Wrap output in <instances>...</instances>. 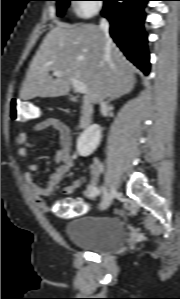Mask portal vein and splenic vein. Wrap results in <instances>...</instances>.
<instances>
[{
  "instance_id": "portal-vein-and-splenic-vein-1",
  "label": "portal vein and splenic vein",
  "mask_w": 180,
  "mask_h": 299,
  "mask_svg": "<svg viewBox=\"0 0 180 299\" xmlns=\"http://www.w3.org/2000/svg\"><path fill=\"white\" fill-rule=\"evenodd\" d=\"M53 75L55 77H60L63 75V72L56 70V71H53ZM69 80L76 92L81 93V94L87 93L88 89L84 83H82L81 81H79L73 77H70Z\"/></svg>"
}]
</instances>
